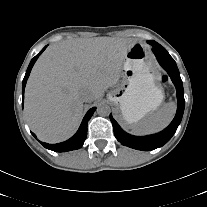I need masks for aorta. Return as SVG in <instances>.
<instances>
[{
  "label": "aorta",
  "instance_id": "aorta-1",
  "mask_svg": "<svg viewBox=\"0 0 207 207\" xmlns=\"http://www.w3.org/2000/svg\"><path fill=\"white\" fill-rule=\"evenodd\" d=\"M110 112H111L110 106L105 103H101L97 107V113L100 116H109Z\"/></svg>",
  "mask_w": 207,
  "mask_h": 207
}]
</instances>
